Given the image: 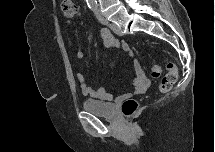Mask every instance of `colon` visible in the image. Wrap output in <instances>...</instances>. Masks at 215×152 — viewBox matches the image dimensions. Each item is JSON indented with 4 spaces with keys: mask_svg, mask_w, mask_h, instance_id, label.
<instances>
[{
    "mask_svg": "<svg viewBox=\"0 0 215 152\" xmlns=\"http://www.w3.org/2000/svg\"><path fill=\"white\" fill-rule=\"evenodd\" d=\"M62 13L64 18L70 22L71 20L74 19V17L77 14V5L71 0H64L62 2ZM166 69L167 73L162 78L159 87V90L162 93L170 91L176 84L178 79V69L174 63L168 61L166 63ZM160 75H161L160 65L153 63L151 65L152 78L157 79L160 77ZM138 107H139L138 102L135 99L128 98L123 102L121 110L124 116L131 117L137 112Z\"/></svg>",
    "mask_w": 215,
    "mask_h": 152,
    "instance_id": "colon-1",
    "label": "colon"
}]
</instances>
